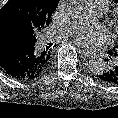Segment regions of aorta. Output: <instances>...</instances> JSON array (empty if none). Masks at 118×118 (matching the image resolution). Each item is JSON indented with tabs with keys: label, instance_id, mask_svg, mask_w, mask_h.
<instances>
[{
	"label": "aorta",
	"instance_id": "aorta-1",
	"mask_svg": "<svg viewBox=\"0 0 118 118\" xmlns=\"http://www.w3.org/2000/svg\"><path fill=\"white\" fill-rule=\"evenodd\" d=\"M84 10L83 0H62L61 11L68 18L79 17ZM89 69L94 74H102L107 70L105 61L101 58H94L89 61Z\"/></svg>",
	"mask_w": 118,
	"mask_h": 118
}]
</instances>
